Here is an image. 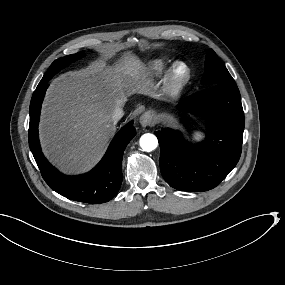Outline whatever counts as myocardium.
I'll return each instance as SVG.
<instances>
[{
	"mask_svg": "<svg viewBox=\"0 0 285 285\" xmlns=\"http://www.w3.org/2000/svg\"><path fill=\"white\" fill-rule=\"evenodd\" d=\"M187 77V72H179L177 70H174L164 85L163 94L167 97L176 96L186 81Z\"/></svg>",
	"mask_w": 285,
	"mask_h": 285,
	"instance_id": "myocardium-1",
	"label": "myocardium"
}]
</instances>
